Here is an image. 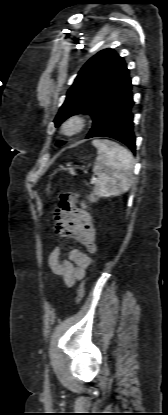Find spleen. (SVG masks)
<instances>
[{"mask_svg": "<svg viewBox=\"0 0 168 415\" xmlns=\"http://www.w3.org/2000/svg\"><path fill=\"white\" fill-rule=\"evenodd\" d=\"M98 156L93 167L97 175L95 194L99 197L126 193L133 177V155L125 147L109 140L92 141Z\"/></svg>", "mask_w": 168, "mask_h": 415, "instance_id": "3e777b00", "label": "spleen"}]
</instances>
